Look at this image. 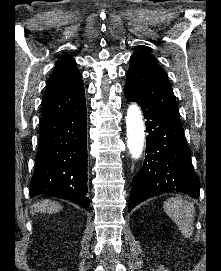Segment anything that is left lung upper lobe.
<instances>
[{
    "label": "left lung upper lobe",
    "mask_w": 221,
    "mask_h": 271,
    "mask_svg": "<svg viewBox=\"0 0 221 271\" xmlns=\"http://www.w3.org/2000/svg\"><path fill=\"white\" fill-rule=\"evenodd\" d=\"M125 85L143 94L166 113L180 118L167 74L149 52L136 51L132 54Z\"/></svg>",
    "instance_id": "5c2ea615"
}]
</instances>
